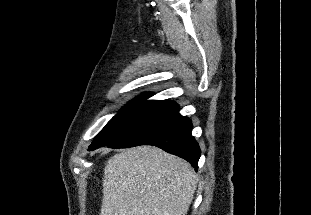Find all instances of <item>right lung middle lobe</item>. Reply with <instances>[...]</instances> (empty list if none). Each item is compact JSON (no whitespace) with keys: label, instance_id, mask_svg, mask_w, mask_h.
Wrapping results in <instances>:
<instances>
[{"label":"right lung middle lobe","instance_id":"obj_1","mask_svg":"<svg viewBox=\"0 0 311 215\" xmlns=\"http://www.w3.org/2000/svg\"><path fill=\"white\" fill-rule=\"evenodd\" d=\"M150 96V94H143L121 109L100 131L88 150L107 146L127 134L161 102L159 100L145 101Z\"/></svg>","mask_w":311,"mask_h":215}]
</instances>
